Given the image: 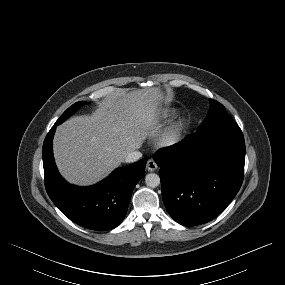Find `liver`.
I'll use <instances>...</instances> for the list:
<instances>
[{"label":"liver","instance_id":"1","mask_svg":"<svg viewBox=\"0 0 285 285\" xmlns=\"http://www.w3.org/2000/svg\"><path fill=\"white\" fill-rule=\"evenodd\" d=\"M158 87L121 90L98 103L91 115L75 116L57 127L54 156L70 183L91 185L106 177L156 131Z\"/></svg>","mask_w":285,"mask_h":285}]
</instances>
